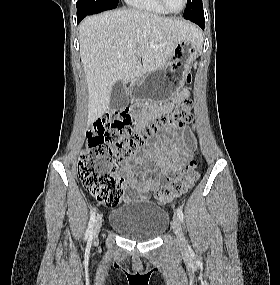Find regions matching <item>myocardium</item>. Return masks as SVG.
<instances>
[{
	"mask_svg": "<svg viewBox=\"0 0 280 285\" xmlns=\"http://www.w3.org/2000/svg\"><path fill=\"white\" fill-rule=\"evenodd\" d=\"M159 4L161 5V7L167 12V13H170V14H179L181 12L184 11V9L186 8L187 6V3H188V0H183V6L182 8L179 10V11H172L168 8L167 4H166V1L165 0H158Z\"/></svg>",
	"mask_w": 280,
	"mask_h": 285,
	"instance_id": "myocardium-1",
	"label": "myocardium"
}]
</instances>
